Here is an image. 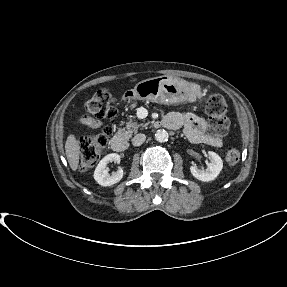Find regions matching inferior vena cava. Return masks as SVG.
Wrapping results in <instances>:
<instances>
[{
    "mask_svg": "<svg viewBox=\"0 0 287 287\" xmlns=\"http://www.w3.org/2000/svg\"><path fill=\"white\" fill-rule=\"evenodd\" d=\"M145 140H146V135L139 133L133 137L132 144L133 146H140L145 142Z\"/></svg>",
    "mask_w": 287,
    "mask_h": 287,
    "instance_id": "inferior-vena-cava-1",
    "label": "inferior vena cava"
}]
</instances>
